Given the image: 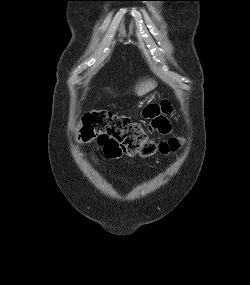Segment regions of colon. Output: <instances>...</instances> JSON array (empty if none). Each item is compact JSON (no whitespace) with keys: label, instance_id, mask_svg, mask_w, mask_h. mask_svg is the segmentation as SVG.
<instances>
[{"label":"colon","instance_id":"5ec220e1","mask_svg":"<svg viewBox=\"0 0 250 285\" xmlns=\"http://www.w3.org/2000/svg\"><path fill=\"white\" fill-rule=\"evenodd\" d=\"M78 138L82 142L96 140L111 158L122 154L141 157L156 153L166 155L177 151L182 144L180 138L155 142L139 123L107 110L86 113L79 126Z\"/></svg>","mask_w":250,"mask_h":285}]
</instances>
